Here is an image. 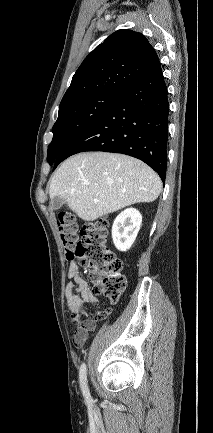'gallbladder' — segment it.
Returning <instances> with one entry per match:
<instances>
[{
    "instance_id": "bac80fb5",
    "label": "gallbladder",
    "mask_w": 213,
    "mask_h": 433,
    "mask_svg": "<svg viewBox=\"0 0 213 433\" xmlns=\"http://www.w3.org/2000/svg\"><path fill=\"white\" fill-rule=\"evenodd\" d=\"M65 204V201L60 196H56L51 200V205L54 209H60Z\"/></svg>"
}]
</instances>
